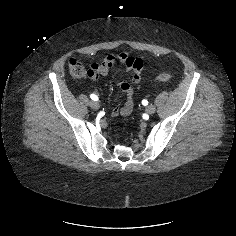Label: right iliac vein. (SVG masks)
I'll use <instances>...</instances> for the list:
<instances>
[{
  "instance_id": "obj_1",
  "label": "right iliac vein",
  "mask_w": 236,
  "mask_h": 236,
  "mask_svg": "<svg viewBox=\"0 0 236 236\" xmlns=\"http://www.w3.org/2000/svg\"><path fill=\"white\" fill-rule=\"evenodd\" d=\"M90 107L94 110H98L100 108V104L97 101H91Z\"/></svg>"
}]
</instances>
